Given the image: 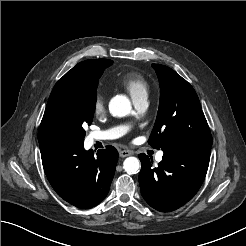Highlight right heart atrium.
I'll list each match as a JSON object with an SVG mask.
<instances>
[{"instance_id":"1","label":"right heart atrium","mask_w":246,"mask_h":246,"mask_svg":"<svg viewBox=\"0 0 246 246\" xmlns=\"http://www.w3.org/2000/svg\"><path fill=\"white\" fill-rule=\"evenodd\" d=\"M93 110L94 114L97 116L102 115L106 110L105 97L100 93H98L95 97Z\"/></svg>"}]
</instances>
